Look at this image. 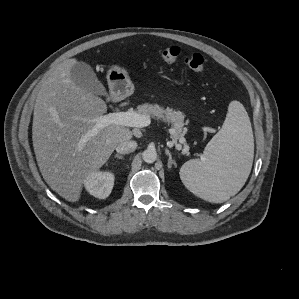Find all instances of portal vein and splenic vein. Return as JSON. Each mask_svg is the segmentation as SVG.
I'll list each match as a JSON object with an SVG mask.
<instances>
[{
    "label": "portal vein and splenic vein",
    "mask_w": 299,
    "mask_h": 299,
    "mask_svg": "<svg viewBox=\"0 0 299 299\" xmlns=\"http://www.w3.org/2000/svg\"><path fill=\"white\" fill-rule=\"evenodd\" d=\"M112 124L142 128L150 124V119L135 112L129 111L114 112L100 116L96 119V124L94 125V127L79 142L78 149L81 150L84 143H86L92 136L97 134L99 130Z\"/></svg>",
    "instance_id": "obj_1"
}]
</instances>
